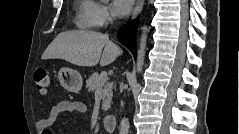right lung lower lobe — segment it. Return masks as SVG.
<instances>
[{
	"instance_id": "obj_1",
	"label": "right lung lower lobe",
	"mask_w": 239,
	"mask_h": 134,
	"mask_svg": "<svg viewBox=\"0 0 239 134\" xmlns=\"http://www.w3.org/2000/svg\"><path fill=\"white\" fill-rule=\"evenodd\" d=\"M138 28V22H128L125 26H122L118 31V40L125 47H127L134 57L136 58L137 46H136V33Z\"/></svg>"
}]
</instances>
